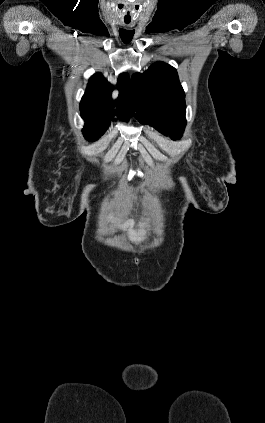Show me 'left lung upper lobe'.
Masks as SVG:
<instances>
[{"mask_svg":"<svg viewBox=\"0 0 265 423\" xmlns=\"http://www.w3.org/2000/svg\"><path fill=\"white\" fill-rule=\"evenodd\" d=\"M132 100L136 118L171 139L181 138L186 126L185 93L175 68L163 62L152 64L132 77Z\"/></svg>","mask_w":265,"mask_h":423,"instance_id":"left-lung-upper-lobe-1","label":"left lung upper lobe"}]
</instances>
